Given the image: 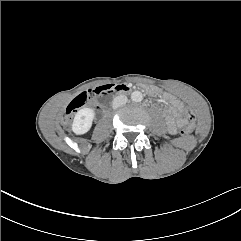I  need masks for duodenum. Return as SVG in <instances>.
I'll use <instances>...</instances> for the list:
<instances>
[{"mask_svg": "<svg viewBox=\"0 0 241 241\" xmlns=\"http://www.w3.org/2000/svg\"><path fill=\"white\" fill-rule=\"evenodd\" d=\"M113 92H116L118 94H123L128 91V88L124 85H118L112 88Z\"/></svg>", "mask_w": 241, "mask_h": 241, "instance_id": "410a0bca", "label": "duodenum"}]
</instances>
